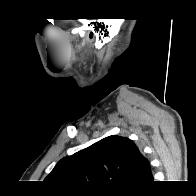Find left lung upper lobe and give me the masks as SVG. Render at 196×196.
I'll return each instance as SVG.
<instances>
[{"instance_id":"left-lung-upper-lobe-1","label":"left lung upper lobe","mask_w":196,"mask_h":196,"mask_svg":"<svg viewBox=\"0 0 196 196\" xmlns=\"http://www.w3.org/2000/svg\"><path fill=\"white\" fill-rule=\"evenodd\" d=\"M149 170L132 140L112 135L61 159L45 180L59 188L129 192L141 187Z\"/></svg>"}]
</instances>
